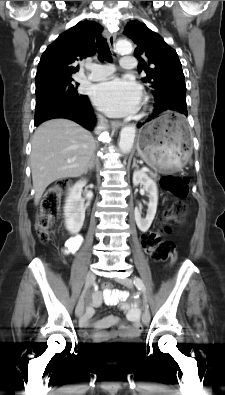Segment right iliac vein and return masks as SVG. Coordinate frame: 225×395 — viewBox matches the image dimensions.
Masks as SVG:
<instances>
[{
    "instance_id": "63e3f726",
    "label": "right iliac vein",
    "mask_w": 225,
    "mask_h": 395,
    "mask_svg": "<svg viewBox=\"0 0 225 395\" xmlns=\"http://www.w3.org/2000/svg\"><path fill=\"white\" fill-rule=\"evenodd\" d=\"M94 278H95L94 272L89 271L86 276V280H85V292L93 283ZM83 311H84V296L81 297V299L79 300V302L76 306L75 315L77 317H80L83 314Z\"/></svg>"
}]
</instances>
